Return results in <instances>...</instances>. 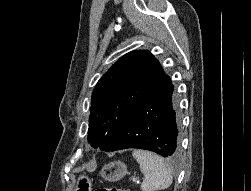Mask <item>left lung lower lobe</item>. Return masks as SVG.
<instances>
[{
    "mask_svg": "<svg viewBox=\"0 0 251 191\" xmlns=\"http://www.w3.org/2000/svg\"><path fill=\"white\" fill-rule=\"evenodd\" d=\"M174 87L163 73L137 103L108 152L138 148L163 157L178 154V112Z\"/></svg>",
    "mask_w": 251,
    "mask_h": 191,
    "instance_id": "left-lung-lower-lobe-1",
    "label": "left lung lower lobe"
}]
</instances>
